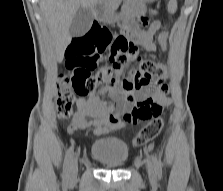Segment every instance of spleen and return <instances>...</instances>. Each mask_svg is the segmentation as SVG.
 <instances>
[{
  "label": "spleen",
  "mask_w": 223,
  "mask_h": 191,
  "mask_svg": "<svg viewBox=\"0 0 223 191\" xmlns=\"http://www.w3.org/2000/svg\"><path fill=\"white\" fill-rule=\"evenodd\" d=\"M169 7H170V11L171 12H175L176 11V7H177L176 0H170Z\"/></svg>",
  "instance_id": "1"
}]
</instances>
